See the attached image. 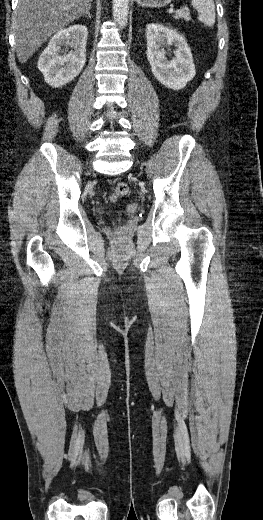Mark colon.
Instances as JSON below:
<instances>
[{
	"label": "colon",
	"instance_id": "obj_1",
	"mask_svg": "<svg viewBox=\"0 0 263 520\" xmlns=\"http://www.w3.org/2000/svg\"><path fill=\"white\" fill-rule=\"evenodd\" d=\"M129 194V186L124 182H118L110 194V200L116 202Z\"/></svg>",
	"mask_w": 263,
	"mask_h": 520
}]
</instances>
